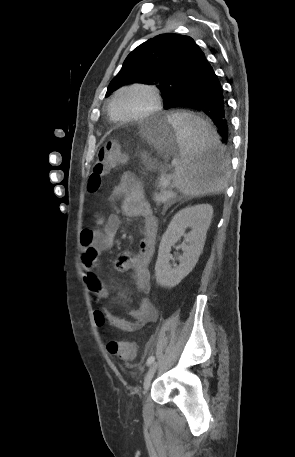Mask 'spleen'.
I'll use <instances>...</instances> for the list:
<instances>
[{"label": "spleen", "mask_w": 295, "mask_h": 457, "mask_svg": "<svg viewBox=\"0 0 295 457\" xmlns=\"http://www.w3.org/2000/svg\"><path fill=\"white\" fill-rule=\"evenodd\" d=\"M168 119L176 130L180 148L174 185L189 196L222 191L227 185L228 162L216 130L189 112H177Z\"/></svg>", "instance_id": "spleen-1"}]
</instances>
